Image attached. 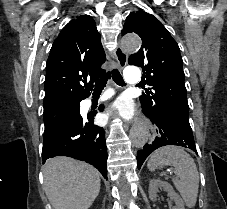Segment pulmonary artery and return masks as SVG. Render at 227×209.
<instances>
[{
	"label": "pulmonary artery",
	"mask_w": 227,
	"mask_h": 209,
	"mask_svg": "<svg viewBox=\"0 0 227 209\" xmlns=\"http://www.w3.org/2000/svg\"><path fill=\"white\" fill-rule=\"evenodd\" d=\"M140 77H141V74H140V71L138 70L137 66H127L123 73V78H125V83H141ZM105 99H106V97H101L99 99V102H102ZM86 101L93 102L94 98L87 97Z\"/></svg>",
	"instance_id": "1"
}]
</instances>
